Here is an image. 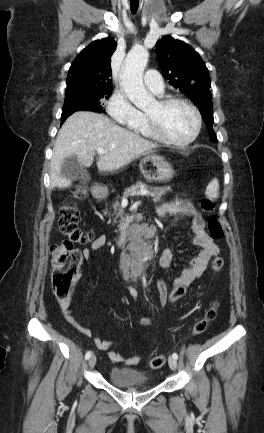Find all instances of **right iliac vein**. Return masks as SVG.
Returning a JSON list of instances; mask_svg holds the SVG:
<instances>
[{"label":"right iliac vein","instance_id":"obj_1","mask_svg":"<svg viewBox=\"0 0 264 433\" xmlns=\"http://www.w3.org/2000/svg\"><path fill=\"white\" fill-rule=\"evenodd\" d=\"M96 361H97L96 356L92 355L89 359V362H88L89 368H91V369L94 368Z\"/></svg>","mask_w":264,"mask_h":433}]
</instances>
